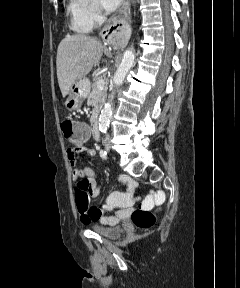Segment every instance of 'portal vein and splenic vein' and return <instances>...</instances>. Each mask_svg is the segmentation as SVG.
I'll return each instance as SVG.
<instances>
[{"instance_id":"18ae733b","label":"portal vein and splenic vein","mask_w":240,"mask_h":288,"mask_svg":"<svg viewBox=\"0 0 240 288\" xmlns=\"http://www.w3.org/2000/svg\"><path fill=\"white\" fill-rule=\"evenodd\" d=\"M104 84H105V82H104V79H103V78H100V79L98 80V82H97V85H98V88H99V89H103V88H104Z\"/></svg>"}]
</instances>
